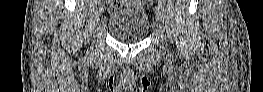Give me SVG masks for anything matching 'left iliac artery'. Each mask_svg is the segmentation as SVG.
Masks as SVG:
<instances>
[{
  "mask_svg": "<svg viewBox=\"0 0 263 92\" xmlns=\"http://www.w3.org/2000/svg\"><path fill=\"white\" fill-rule=\"evenodd\" d=\"M163 6H165V1H161V3H160V9H161L162 15H165Z\"/></svg>",
  "mask_w": 263,
  "mask_h": 92,
  "instance_id": "obj_1",
  "label": "left iliac artery"
}]
</instances>
